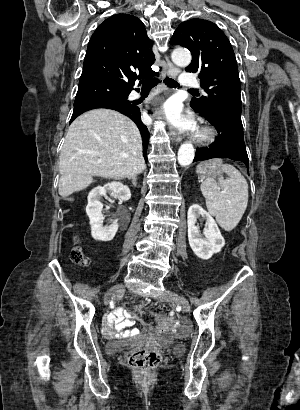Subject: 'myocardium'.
Instances as JSON below:
<instances>
[{"label":"myocardium","instance_id":"myocardium-1","mask_svg":"<svg viewBox=\"0 0 300 410\" xmlns=\"http://www.w3.org/2000/svg\"><path fill=\"white\" fill-rule=\"evenodd\" d=\"M216 136L215 129L207 124L202 125L195 137V140L200 145H206L214 140Z\"/></svg>","mask_w":300,"mask_h":410}]
</instances>
